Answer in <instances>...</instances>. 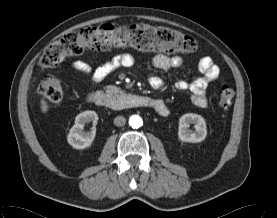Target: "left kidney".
Masks as SVG:
<instances>
[{"label": "left kidney", "instance_id": "left-kidney-1", "mask_svg": "<svg viewBox=\"0 0 277 218\" xmlns=\"http://www.w3.org/2000/svg\"><path fill=\"white\" fill-rule=\"evenodd\" d=\"M190 124H194L195 132L188 129ZM207 136L206 122L198 114L186 113L179 119L178 137L179 140L188 143H198Z\"/></svg>", "mask_w": 277, "mask_h": 218}]
</instances>
